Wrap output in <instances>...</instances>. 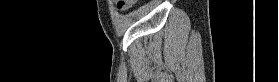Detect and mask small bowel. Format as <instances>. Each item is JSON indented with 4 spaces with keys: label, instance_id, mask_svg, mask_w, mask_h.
<instances>
[{
    "label": "small bowel",
    "instance_id": "1",
    "mask_svg": "<svg viewBox=\"0 0 279 82\" xmlns=\"http://www.w3.org/2000/svg\"><path fill=\"white\" fill-rule=\"evenodd\" d=\"M117 9H119L120 11H125L128 9V7L124 4L117 3Z\"/></svg>",
    "mask_w": 279,
    "mask_h": 82
}]
</instances>
